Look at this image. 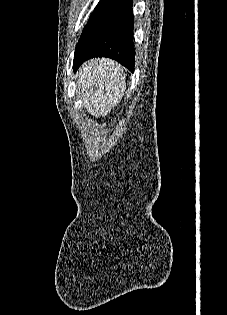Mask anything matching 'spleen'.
<instances>
[{
	"mask_svg": "<svg viewBox=\"0 0 227 315\" xmlns=\"http://www.w3.org/2000/svg\"><path fill=\"white\" fill-rule=\"evenodd\" d=\"M125 73L113 61H91L82 68L78 81L87 110L95 116H105L124 93Z\"/></svg>",
	"mask_w": 227,
	"mask_h": 315,
	"instance_id": "1",
	"label": "spleen"
}]
</instances>
